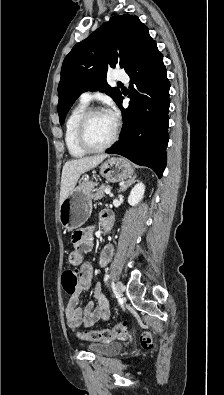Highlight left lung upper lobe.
Returning a JSON list of instances; mask_svg holds the SVG:
<instances>
[{"mask_svg": "<svg viewBox=\"0 0 224 395\" xmlns=\"http://www.w3.org/2000/svg\"><path fill=\"white\" fill-rule=\"evenodd\" d=\"M153 41L148 27L137 16L123 14L111 17L77 43L62 64L58 86L60 123L85 91H105L117 103L122 94L107 84L108 68L119 64L127 73Z\"/></svg>", "mask_w": 224, "mask_h": 395, "instance_id": "5c2ea615", "label": "left lung upper lobe"}]
</instances>
